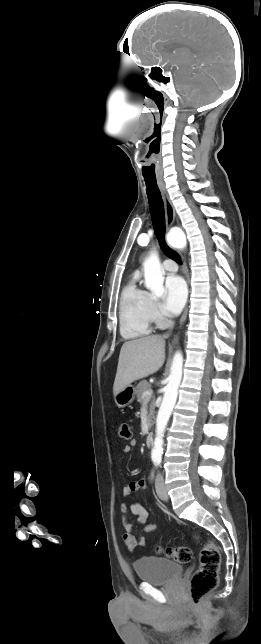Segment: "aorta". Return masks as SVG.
I'll list each match as a JSON object with an SVG mask.
<instances>
[{
	"mask_svg": "<svg viewBox=\"0 0 261 644\" xmlns=\"http://www.w3.org/2000/svg\"><path fill=\"white\" fill-rule=\"evenodd\" d=\"M168 241L173 245L185 243V235L181 231L171 230L168 234ZM145 287L157 297L164 294V270L161 267L158 253L153 251L143 263ZM183 356L177 351L173 357L170 368L169 381L156 419V436L151 451L152 459L161 458L163 453L164 432L175 406L178 388L182 378Z\"/></svg>",
	"mask_w": 261,
	"mask_h": 644,
	"instance_id": "aorta-1",
	"label": "aorta"
}]
</instances>
